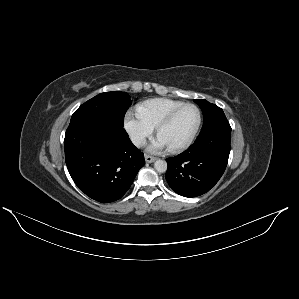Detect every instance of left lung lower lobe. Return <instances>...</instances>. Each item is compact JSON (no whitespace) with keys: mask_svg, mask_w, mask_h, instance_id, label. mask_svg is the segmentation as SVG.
<instances>
[{"mask_svg":"<svg viewBox=\"0 0 299 299\" xmlns=\"http://www.w3.org/2000/svg\"><path fill=\"white\" fill-rule=\"evenodd\" d=\"M229 122L201 130L191 147L167 158L166 180L177 194L196 197L208 192L221 178L230 153Z\"/></svg>","mask_w":299,"mask_h":299,"instance_id":"obj_1","label":"left lung lower lobe"}]
</instances>
